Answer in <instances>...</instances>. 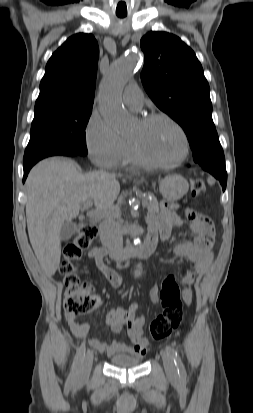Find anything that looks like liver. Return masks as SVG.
Segmentation results:
<instances>
[{"mask_svg": "<svg viewBox=\"0 0 253 413\" xmlns=\"http://www.w3.org/2000/svg\"><path fill=\"white\" fill-rule=\"evenodd\" d=\"M26 189L30 243L42 269L53 275L60 263L62 225L75 219L87 200H93L99 211L110 209L119 195L120 184L114 174H82L76 162L50 158L32 168Z\"/></svg>", "mask_w": 253, "mask_h": 413, "instance_id": "1", "label": "liver"}]
</instances>
